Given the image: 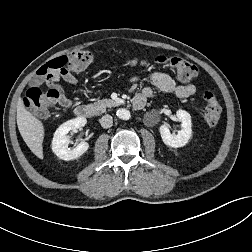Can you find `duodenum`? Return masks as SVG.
Instances as JSON below:
<instances>
[{
    "label": "duodenum",
    "mask_w": 252,
    "mask_h": 252,
    "mask_svg": "<svg viewBox=\"0 0 252 252\" xmlns=\"http://www.w3.org/2000/svg\"><path fill=\"white\" fill-rule=\"evenodd\" d=\"M133 105L136 109H141L144 106V102L134 101ZM74 114L79 118H92L95 110L91 105H80L75 108Z\"/></svg>",
    "instance_id": "410a0bca"
}]
</instances>
